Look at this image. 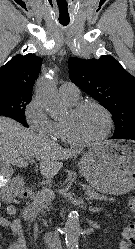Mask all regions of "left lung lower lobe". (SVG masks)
Returning a JSON list of instances; mask_svg holds the SVG:
<instances>
[{"label":"left lung lower lobe","mask_w":135,"mask_h":249,"mask_svg":"<svg viewBox=\"0 0 135 249\" xmlns=\"http://www.w3.org/2000/svg\"><path fill=\"white\" fill-rule=\"evenodd\" d=\"M111 139H131L135 140V129L130 130L128 133L124 135H114L111 137Z\"/></svg>","instance_id":"obj_1"}]
</instances>
